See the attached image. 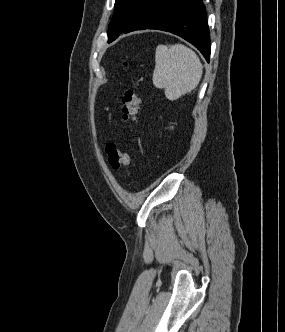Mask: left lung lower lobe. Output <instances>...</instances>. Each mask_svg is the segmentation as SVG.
I'll return each mask as SVG.
<instances>
[{
  "label": "left lung lower lobe",
  "instance_id": "obj_1",
  "mask_svg": "<svg viewBox=\"0 0 285 332\" xmlns=\"http://www.w3.org/2000/svg\"><path fill=\"white\" fill-rule=\"evenodd\" d=\"M141 29L176 34L193 44L209 62L210 33L202 0H152L122 32Z\"/></svg>",
  "mask_w": 285,
  "mask_h": 332
}]
</instances>
